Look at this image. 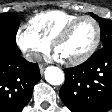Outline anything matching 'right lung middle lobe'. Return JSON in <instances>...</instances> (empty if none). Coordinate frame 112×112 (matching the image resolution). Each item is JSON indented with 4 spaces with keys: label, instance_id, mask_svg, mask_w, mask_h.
<instances>
[{
    "label": "right lung middle lobe",
    "instance_id": "dd1d6c3e",
    "mask_svg": "<svg viewBox=\"0 0 112 112\" xmlns=\"http://www.w3.org/2000/svg\"><path fill=\"white\" fill-rule=\"evenodd\" d=\"M20 21L15 13L0 14V49L20 51L16 45V33Z\"/></svg>",
    "mask_w": 112,
    "mask_h": 112
}]
</instances>
